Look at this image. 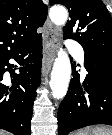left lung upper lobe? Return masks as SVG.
I'll return each mask as SVG.
<instances>
[{"mask_svg":"<svg viewBox=\"0 0 112 135\" xmlns=\"http://www.w3.org/2000/svg\"><path fill=\"white\" fill-rule=\"evenodd\" d=\"M50 4L69 10L64 38L76 40L85 52L112 56V18L101 0H50Z\"/></svg>","mask_w":112,"mask_h":135,"instance_id":"obj_1","label":"left lung upper lobe"}]
</instances>
